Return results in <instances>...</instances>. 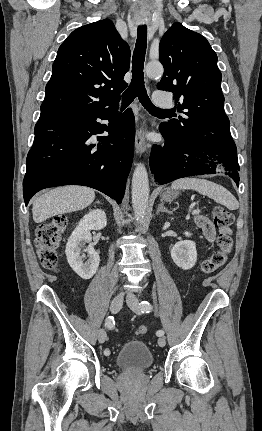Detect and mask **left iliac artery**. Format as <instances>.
I'll return each instance as SVG.
<instances>
[{
    "instance_id": "1",
    "label": "left iliac artery",
    "mask_w": 262,
    "mask_h": 431,
    "mask_svg": "<svg viewBox=\"0 0 262 431\" xmlns=\"http://www.w3.org/2000/svg\"><path fill=\"white\" fill-rule=\"evenodd\" d=\"M140 308H141V310L143 312H146V313H148V312H150L152 310L151 304L148 301H146V300L141 301ZM156 335L157 336H163L164 335V331L163 330H158L156 332Z\"/></svg>"
}]
</instances>
